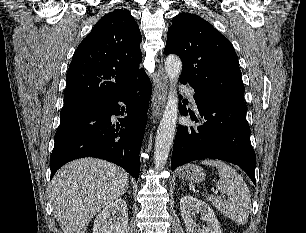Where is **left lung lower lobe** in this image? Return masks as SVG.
<instances>
[{"instance_id": "obj_1", "label": "left lung lower lobe", "mask_w": 306, "mask_h": 233, "mask_svg": "<svg viewBox=\"0 0 306 233\" xmlns=\"http://www.w3.org/2000/svg\"><path fill=\"white\" fill-rule=\"evenodd\" d=\"M194 100L205 122L197 128L178 127L172 170L198 159H221L240 166L256 185V155L250 142L244 100L225 95H204L196 91ZM180 113L188 114L185 106L180 105ZM194 120L198 122L196 118Z\"/></svg>"}]
</instances>
